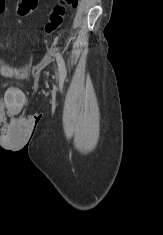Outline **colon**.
I'll list each match as a JSON object with an SVG mask.
<instances>
[{
	"label": "colon",
	"instance_id": "5ec220e1",
	"mask_svg": "<svg viewBox=\"0 0 163 235\" xmlns=\"http://www.w3.org/2000/svg\"><path fill=\"white\" fill-rule=\"evenodd\" d=\"M79 0H58L57 5L52 9L47 21L44 25V30L47 33H53L58 30L64 20L67 7L76 8ZM38 5V0H21L17 6V14L19 16H28L33 13ZM5 9V0H0V13Z\"/></svg>",
	"mask_w": 163,
	"mask_h": 235
}]
</instances>
